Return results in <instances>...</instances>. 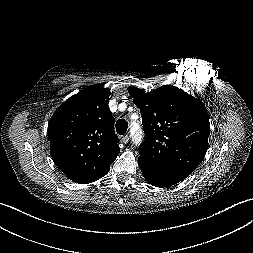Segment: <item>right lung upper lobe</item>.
I'll return each mask as SVG.
<instances>
[{"label":"right lung upper lobe","mask_w":253,"mask_h":253,"mask_svg":"<svg viewBox=\"0 0 253 253\" xmlns=\"http://www.w3.org/2000/svg\"><path fill=\"white\" fill-rule=\"evenodd\" d=\"M110 90L86 88L66 100L48 123L51 156L70 180L87 184L109 171L120 152Z\"/></svg>","instance_id":"right-lung-upper-lobe-1"}]
</instances>
